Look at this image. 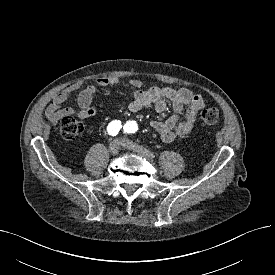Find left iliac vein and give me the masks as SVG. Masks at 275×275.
<instances>
[{"mask_svg":"<svg viewBox=\"0 0 275 275\" xmlns=\"http://www.w3.org/2000/svg\"><path fill=\"white\" fill-rule=\"evenodd\" d=\"M121 144L123 147L125 148H128L130 150H133L135 152H137L138 154L142 155V156H145L149 159H154V155L153 153H151L150 151H148L147 149L133 143V142H130L129 140H126V139H122L121 140Z\"/></svg>","mask_w":275,"mask_h":275,"instance_id":"obj_1","label":"left iliac vein"}]
</instances>
